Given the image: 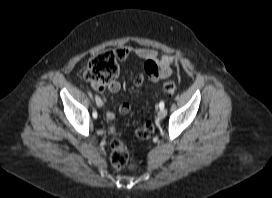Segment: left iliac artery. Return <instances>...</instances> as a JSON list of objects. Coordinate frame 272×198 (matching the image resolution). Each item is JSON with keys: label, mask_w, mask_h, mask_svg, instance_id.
<instances>
[{"label": "left iliac artery", "mask_w": 272, "mask_h": 198, "mask_svg": "<svg viewBox=\"0 0 272 198\" xmlns=\"http://www.w3.org/2000/svg\"><path fill=\"white\" fill-rule=\"evenodd\" d=\"M164 101H161L160 103H159V107H160V109H164Z\"/></svg>", "instance_id": "44dca946"}]
</instances>
